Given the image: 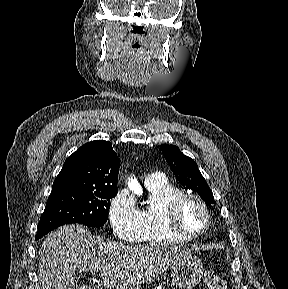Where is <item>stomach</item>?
<instances>
[{
  "mask_svg": "<svg viewBox=\"0 0 288 289\" xmlns=\"http://www.w3.org/2000/svg\"><path fill=\"white\" fill-rule=\"evenodd\" d=\"M203 273L201 260L191 256L172 267V281L181 289H192L200 282Z\"/></svg>",
  "mask_w": 288,
  "mask_h": 289,
  "instance_id": "1",
  "label": "stomach"
}]
</instances>
